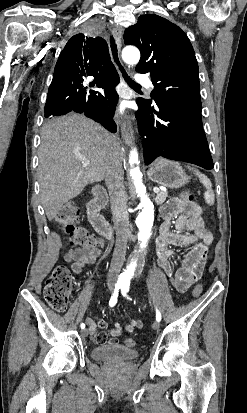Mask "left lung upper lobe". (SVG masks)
Listing matches in <instances>:
<instances>
[{
  "mask_svg": "<svg viewBox=\"0 0 247 413\" xmlns=\"http://www.w3.org/2000/svg\"><path fill=\"white\" fill-rule=\"evenodd\" d=\"M124 42L139 48L136 72L151 74L155 103H176L201 111L198 64L181 28L158 15L145 14L126 29ZM138 100L145 106L152 104V100Z\"/></svg>",
  "mask_w": 247,
  "mask_h": 413,
  "instance_id": "obj_1",
  "label": "left lung upper lobe"
}]
</instances>
